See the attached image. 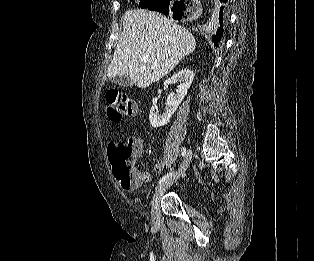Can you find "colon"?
<instances>
[{
  "label": "colon",
  "instance_id": "obj_1",
  "mask_svg": "<svg viewBox=\"0 0 314 261\" xmlns=\"http://www.w3.org/2000/svg\"><path fill=\"white\" fill-rule=\"evenodd\" d=\"M107 114L111 121L120 122L136 112V104L119 88L107 91ZM139 147L135 138H126L108 147L113 174L124 189H133L142 183V175L134 169L133 158Z\"/></svg>",
  "mask_w": 314,
  "mask_h": 261
}]
</instances>
